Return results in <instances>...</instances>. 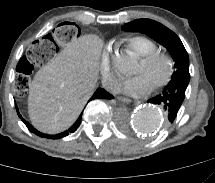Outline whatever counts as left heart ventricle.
<instances>
[{"label":"left heart ventricle","mask_w":215,"mask_h":183,"mask_svg":"<svg viewBox=\"0 0 215 183\" xmlns=\"http://www.w3.org/2000/svg\"><path fill=\"white\" fill-rule=\"evenodd\" d=\"M166 71L167 66L162 60H156L151 64H144L141 60H139L134 73L144 74L153 86L165 76Z\"/></svg>","instance_id":"obj_1"}]
</instances>
